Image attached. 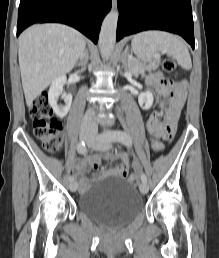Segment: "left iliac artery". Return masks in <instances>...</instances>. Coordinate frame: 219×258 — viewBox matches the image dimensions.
Here are the masks:
<instances>
[{
  "label": "left iliac artery",
  "instance_id": "44dca946",
  "mask_svg": "<svg viewBox=\"0 0 219 258\" xmlns=\"http://www.w3.org/2000/svg\"><path fill=\"white\" fill-rule=\"evenodd\" d=\"M100 139L108 142H119L126 145L128 148L132 147V141L130 136L126 132L121 130L111 131L107 134L103 133ZM141 181L147 183V177L144 173H142L141 175Z\"/></svg>",
  "mask_w": 219,
  "mask_h": 258
}]
</instances>
